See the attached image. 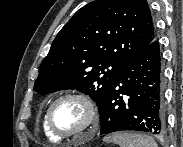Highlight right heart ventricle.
<instances>
[{
  "label": "right heart ventricle",
  "mask_w": 183,
  "mask_h": 147,
  "mask_svg": "<svg viewBox=\"0 0 183 147\" xmlns=\"http://www.w3.org/2000/svg\"><path fill=\"white\" fill-rule=\"evenodd\" d=\"M42 126H43V131H44L46 137H47L49 140L54 141V142L60 140V138L56 137V136H55L54 134H52V133L50 132V130L48 129V127H47V125H46L45 116H44V118H43Z\"/></svg>",
  "instance_id": "right-heart-ventricle-1"
}]
</instances>
